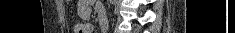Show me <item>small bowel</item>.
<instances>
[{"instance_id":"c3829d8e","label":"small bowel","mask_w":235,"mask_h":33,"mask_svg":"<svg viewBox=\"0 0 235 33\" xmlns=\"http://www.w3.org/2000/svg\"><path fill=\"white\" fill-rule=\"evenodd\" d=\"M88 4L86 3V2H81L80 4H79V12L80 13H82V12H84L86 9H88ZM96 11H97V13L100 15V14H102L103 12H104V10H103V7H102V5L101 4H96Z\"/></svg>"}]
</instances>
